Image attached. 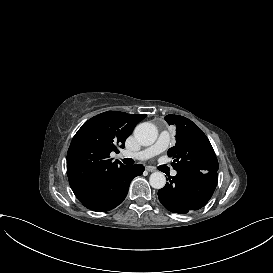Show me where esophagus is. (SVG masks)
I'll list each match as a JSON object with an SVG mask.
<instances>
[{
  "instance_id": "1",
  "label": "esophagus",
  "mask_w": 273,
  "mask_h": 273,
  "mask_svg": "<svg viewBox=\"0 0 273 273\" xmlns=\"http://www.w3.org/2000/svg\"><path fill=\"white\" fill-rule=\"evenodd\" d=\"M145 170L148 171V172H155V171H156L155 168L150 167V166H146V167H145Z\"/></svg>"
}]
</instances>
